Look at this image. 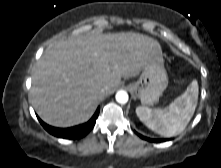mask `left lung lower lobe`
I'll list each match as a JSON object with an SVG mask.
<instances>
[{"label": "left lung lower lobe", "instance_id": "left-lung-lower-lobe-1", "mask_svg": "<svg viewBox=\"0 0 221 168\" xmlns=\"http://www.w3.org/2000/svg\"><path fill=\"white\" fill-rule=\"evenodd\" d=\"M138 134V133H137ZM142 139H145L147 141H150V142H163V141H166L167 139H151V138H147L143 135H140L138 134Z\"/></svg>", "mask_w": 221, "mask_h": 168}]
</instances>
